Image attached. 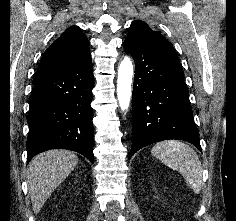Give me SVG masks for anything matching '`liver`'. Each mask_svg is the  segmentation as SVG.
<instances>
[{
    "mask_svg": "<svg viewBox=\"0 0 236 221\" xmlns=\"http://www.w3.org/2000/svg\"><path fill=\"white\" fill-rule=\"evenodd\" d=\"M77 163L74 153L62 149L43 152L31 161L27 183L35 214L39 213L51 193L69 176Z\"/></svg>",
    "mask_w": 236,
    "mask_h": 221,
    "instance_id": "liver-1",
    "label": "liver"
}]
</instances>
